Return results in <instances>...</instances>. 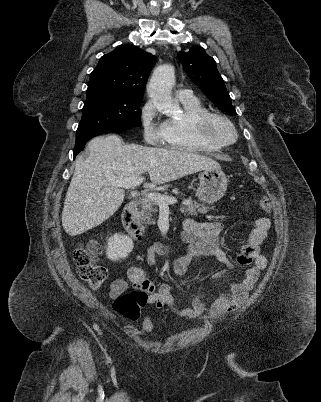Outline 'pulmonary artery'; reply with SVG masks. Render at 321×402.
<instances>
[{
	"label": "pulmonary artery",
	"mask_w": 321,
	"mask_h": 402,
	"mask_svg": "<svg viewBox=\"0 0 321 402\" xmlns=\"http://www.w3.org/2000/svg\"><path fill=\"white\" fill-rule=\"evenodd\" d=\"M176 96L179 98V100L183 101V100H188L193 98V94L190 90L188 89H178L176 90Z\"/></svg>",
	"instance_id": "e3ab8cb5"
}]
</instances>
